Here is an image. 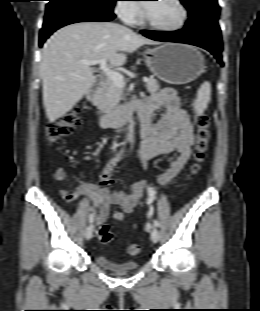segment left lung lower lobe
I'll return each mask as SVG.
<instances>
[{"mask_svg": "<svg viewBox=\"0 0 260 311\" xmlns=\"http://www.w3.org/2000/svg\"><path fill=\"white\" fill-rule=\"evenodd\" d=\"M141 33L153 40L179 42L196 45L210 51L223 66L221 52L222 40L221 32H216L204 28H188L185 27L179 31H148L143 30Z\"/></svg>", "mask_w": 260, "mask_h": 311, "instance_id": "0a47b994", "label": "left lung lower lobe"}]
</instances>
